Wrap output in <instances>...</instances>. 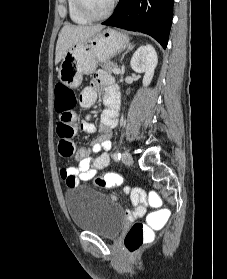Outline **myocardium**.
Instances as JSON below:
<instances>
[{
    "mask_svg": "<svg viewBox=\"0 0 227 279\" xmlns=\"http://www.w3.org/2000/svg\"><path fill=\"white\" fill-rule=\"evenodd\" d=\"M75 2H76V7H77L78 11L80 12V14L83 17H85L86 19H88L90 21H98V20H103L105 18H108L112 14L117 0H111L110 6L107 9V11L100 15H95V14L91 13L89 11V9L87 8V6L85 5L83 0H75Z\"/></svg>",
    "mask_w": 227,
    "mask_h": 279,
    "instance_id": "f54148a6",
    "label": "myocardium"
}]
</instances>
